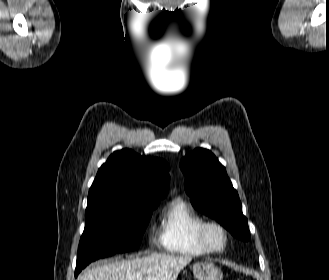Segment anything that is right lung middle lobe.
Masks as SVG:
<instances>
[{
    "instance_id": "right-lung-middle-lobe-1",
    "label": "right lung middle lobe",
    "mask_w": 329,
    "mask_h": 280,
    "mask_svg": "<svg viewBox=\"0 0 329 280\" xmlns=\"http://www.w3.org/2000/svg\"><path fill=\"white\" fill-rule=\"evenodd\" d=\"M160 200H114L86 213L75 276L94 260L138 249Z\"/></svg>"
}]
</instances>
